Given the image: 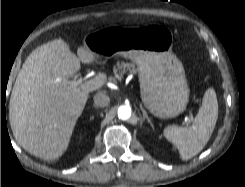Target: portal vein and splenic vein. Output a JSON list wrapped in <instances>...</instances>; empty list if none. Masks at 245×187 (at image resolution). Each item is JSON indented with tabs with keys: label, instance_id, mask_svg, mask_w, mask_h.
<instances>
[{
	"label": "portal vein and splenic vein",
	"instance_id": "1",
	"mask_svg": "<svg viewBox=\"0 0 245 187\" xmlns=\"http://www.w3.org/2000/svg\"><path fill=\"white\" fill-rule=\"evenodd\" d=\"M59 79H56L55 82H59ZM82 82V80L79 81H69L68 84L70 87L72 88H76L80 83Z\"/></svg>",
	"mask_w": 245,
	"mask_h": 187
}]
</instances>
